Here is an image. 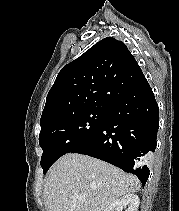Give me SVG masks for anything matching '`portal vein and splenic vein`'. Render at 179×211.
Wrapping results in <instances>:
<instances>
[{
    "label": "portal vein and splenic vein",
    "mask_w": 179,
    "mask_h": 211,
    "mask_svg": "<svg viewBox=\"0 0 179 211\" xmlns=\"http://www.w3.org/2000/svg\"><path fill=\"white\" fill-rule=\"evenodd\" d=\"M79 200H80V201H82V202H84V201H85V199H83V198H80Z\"/></svg>",
    "instance_id": "portal-vein-and-splenic-vein-1"
}]
</instances>
